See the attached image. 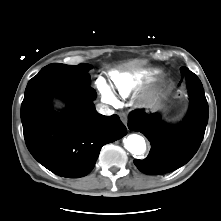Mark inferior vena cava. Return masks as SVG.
<instances>
[{"label":"inferior vena cava","mask_w":221,"mask_h":221,"mask_svg":"<svg viewBox=\"0 0 221 221\" xmlns=\"http://www.w3.org/2000/svg\"><path fill=\"white\" fill-rule=\"evenodd\" d=\"M97 109H98L99 113H101L103 115H111L112 114V110H110L109 107L106 105L98 104Z\"/></svg>","instance_id":"inferior-vena-cava-1"}]
</instances>
